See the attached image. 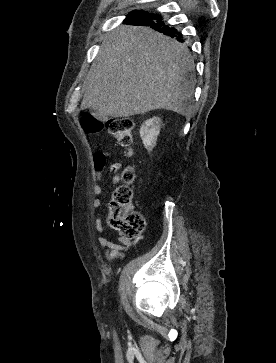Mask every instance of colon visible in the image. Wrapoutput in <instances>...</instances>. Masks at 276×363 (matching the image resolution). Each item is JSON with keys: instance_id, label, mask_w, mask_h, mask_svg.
Returning <instances> with one entry per match:
<instances>
[{"instance_id": "5ec220e1", "label": "colon", "mask_w": 276, "mask_h": 363, "mask_svg": "<svg viewBox=\"0 0 276 363\" xmlns=\"http://www.w3.org/2000/svg\"><path fill=\"white\" fill-rule=\"evenodd\" d=\"M83 128L89 133L109 132L122 147L128 148L132 143L134 121L128 117L116 118L106 122L97 120L92 116L82 117ZM131 152L128 151V155ZM125 183L117 187L108 206V224L125 238L138 237L144 230L145 219L143 215L132 209V190L127 185L134 180L135 174L131 167L125 168L121 175Z\"/></svg>"}]
</instances>
